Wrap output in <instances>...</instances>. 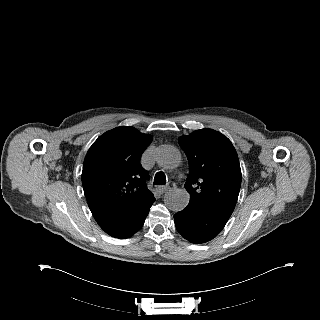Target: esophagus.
Listing matches in <instances>:
<instances>
[{
	"mask_svg": "<svg viewBox=\"0 0 320 320\" xmlns=\"http://www.w3.org/2000/svg\"><path fill=\"white\" fill-rule=\"evenodd\" d=\"M174 187H175V184L171 182L170 185L163 186V187L161 188V190H162L163 192H167V191L173 189Z\"/></svg>",
	"mask_w": 320,
	"mask_h": 320,
	"instance_id": "obj_1",
	"label": "esophagus"
}]
</instances>
